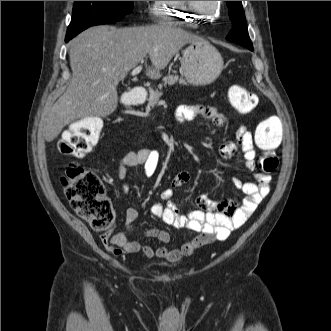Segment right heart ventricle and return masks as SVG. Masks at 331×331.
<instances>
[{
    "label": "right heart ventricle",
    "instance_id": "right-heart-ventricle-1",
    "mask_svg": "<svg viewBox=\"0 0 331 331\" xmlns=\"http://www.w3.org/2000/svg\"><path fill=\"white\" fill-rule=\"evenodd\" d=\"M185 4L184 1H153L151 13L157 22L185 26H197L203 18L211 16L208 12L198 14Z\"/></svg>",
    "mask_w": 331,
    "mask_h": 331
}]
</instances>
